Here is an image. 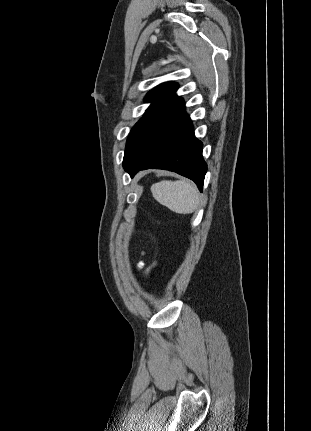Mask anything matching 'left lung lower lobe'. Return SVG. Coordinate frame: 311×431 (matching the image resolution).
Wrapping results in <instances>:
<instances>
[{"mask_svg": "<svg viewBox=\"0 0 311 431\" xmlns=\"http://www.w3.org/2000/svg\"><path fill=\"white\" fill-rule=\"evenodd\" d=\"M203 144L195 138L184 101L169 100L143 127L124 153L123 167L133 177L139 170L156 168L193 180L202 191L207 164Z\"/></svg>", "mask_w": 311, "mask_h": 431, "instance_id": "obj_1", "label": "left lung lower lobe"}]
</instances>
